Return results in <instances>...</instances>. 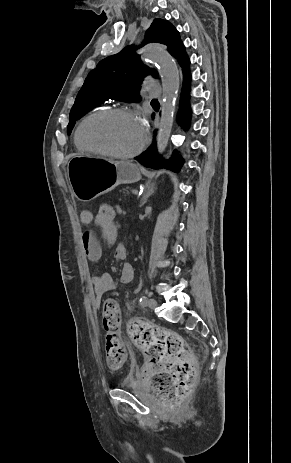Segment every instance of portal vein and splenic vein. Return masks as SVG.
I'll list each match as a JSON object with an SVG mask.
<instances>
[{
	"instance_id": "portal-vein-and-splenic-vein-1",
	"label": "portal vein and splenic vein",
	"mask_w": 291,
	"mask_h": 463,
	"mask_svg": "<svg viewBox=\"0 0 291 463\" xmlns=\"http://www.w3.org/2000/svg\"><path fill=\"white\" fill-rule=\"evenodd\" d=\"M132 193H133V194H138L137 189H133V190H132Z\"/></svg>"
}]
</instances>
